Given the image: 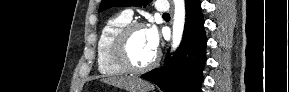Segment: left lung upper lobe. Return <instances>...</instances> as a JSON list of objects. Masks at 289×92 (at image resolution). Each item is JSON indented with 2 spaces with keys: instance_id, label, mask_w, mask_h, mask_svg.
Returning <instances> with one entry per match:
<instances>
[{
  "instance_id": "1",
  "label": "left lung upper lobe",
  "mask_w": 289,
  "mask_h": 92,
  "mask_svg": "<svg viewBox=\"0 0 289 92\" xmlns=\"http://www.w3.org/2000/svg\"><path fill=\"white\" fill-rule=\"evenodd\" d=\"M151 0H102L99 7V12H102L110 7L116 6H145Z\"/></svg>"
}]
</instances>
